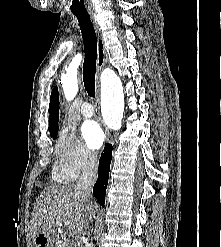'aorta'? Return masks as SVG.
<instances>
[{
    "label": "aorta",
    "mask_w": 221,
    "mask_h": 247,
    "mask_svg": "<svg viewBox=\"0 0 221 247\" xmlns=\"http://www.w3.org/2000/svg\"><path fill=\"white\" fill-rule=\"evenodd\" d=\"M61 81L65 98L73 100L78 93L77 76L67 73ZM101 109L106 124L118 130L124 113V93L120 78L111 69H105L101 75Z\"/></svg>",
    "instance_id": "1"
}]
</instances>
